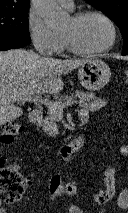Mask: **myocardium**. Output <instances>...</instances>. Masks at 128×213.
I'll list each match as a JSON object with an SVG mask.
<instances>
[{
  "instance_id": "1",
  "label": "myocardium",
  "mask_w": 128,
  "mask_h": 213,
  "mask_svg": "<svg viewBox=\"0 0 128 213\" xmlns=\"http://www.w3.org/2000/svg\"><path fill=\"white\" fill-rule=\"evenodd\" d=\"M89 16H97V17L103 19L108 24V26L110 27V30H111V34H112L111 40L107 46H105L101 49L87 50V49L81 48L76 43L74 36L72 35L71 32H63V36L65 39L67 48L71 52L78 54V55H95V54H101V53L107 52L115 45V43L117 41L118 31H117L116 24L107 14H105L101 11H97V10L80 11V12H77L74 15H72L71 19L74 23H78L82 19L89 17Z\"/></svg>"
}]
</instances>
